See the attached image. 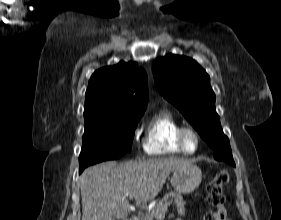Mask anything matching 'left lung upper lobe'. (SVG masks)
<instances>
[{"label": "left lung upper lobe", "instance_id": "1", "mask_svg": "<svg viewBox=\"0 0 281 220\" xmlns=\"http://www.w3.org/2000/svg\"><path fill=\"white\" fill-rule=\"evenodd\" d=\"M152 70L159 92L179 109L214 150V158L235 166L205 70L195 60L173 54L157 58Z\"/></svg>", "mask_w": 281, "mask_h": 220}]
</instances>
